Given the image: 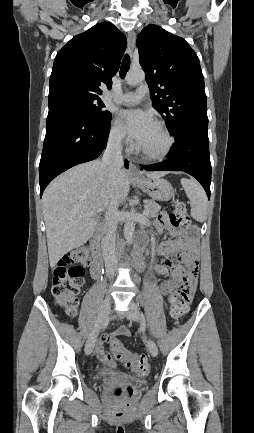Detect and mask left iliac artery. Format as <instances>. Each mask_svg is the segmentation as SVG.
I'll use <instances>...</instances> for the list:
<instances>
[{
    "mask_svg": "<svg viewBox=\"0 0 254 433\" xmlns=\"http://www.w3.org/2000/svg\"><path fill=\"white\" fill-rule=\"evenodd\" d=\"M141 319L145 323V317H144L143 313H141Z\"/></svg>",
    "mask_w": 254,
    "mask_h": 433,
    "instance_id": "obj_1",
    "label": "left iliac artery"
}]
</instances>
